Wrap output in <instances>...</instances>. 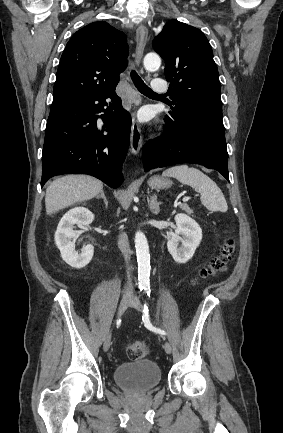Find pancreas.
<instances>
[{"mask_svg":"<svg viewBox=\"0 0 283 433\" xmlns=\"http://www.w3.org/2000/svg\"><path fill=\"white\" fill-rule=\"evenodd\" d=\"M181 208H183V210H186V212H189V214L193 212L192 208H189L188 204H182Z\"/></svg>","mask_w":283,"mask_h":433,"instance_id":"pancreas-1","label":"pancreas"}]
</instances>
